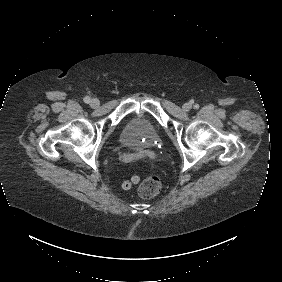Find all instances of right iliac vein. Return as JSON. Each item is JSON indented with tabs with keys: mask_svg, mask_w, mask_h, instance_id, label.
Returning <instances> with one entry per match:
<instances>
[{
	"mask_svg": "<svg viewBox=\"0 0 282 282\" xmlns=\"http://www.w3.org/2000/svg\"><path fill=\"white\" fill-rule=\"evenodd\" d=\"M90 104L93 108H97L99 106V101L97 99H92Z\"/></svg>",
	"mask_w": 282,
	"mask_h": 282,
	"instance_id": "63e3f726",
	"label": "right iliac vein"
}]
</instances>
